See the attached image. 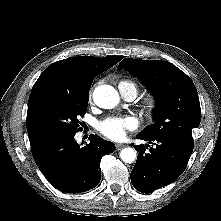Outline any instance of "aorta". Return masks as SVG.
<instances>
[{
    "label": "aorta",
    "mask_w": 221,
    "mask_h": 221,
    "mask_svg": "<svg viewBox=\"0 0 221 221\" xmlns=\"http://www.w3.org/2000/svg\"><path fill=\"white\" fill-rule=\"evenodd\" d=\"M95 104L103 109H112L118 105L120 97L118 92L110 85H100L93 91ZM134 148L126 147L120 151V158L124 163H133L136 160Z\"/></svg>",
    "instance_id": "762f6f07"
}]
</instances>
